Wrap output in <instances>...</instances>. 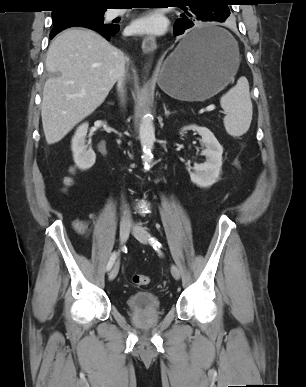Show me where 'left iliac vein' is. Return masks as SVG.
Masks as SVG:
<instances>
[{
    "mask_svg": "<svg viewBox=\"0 0 306 387\" xmlns=\"http://www.w3.org/2000/svg\"><path fill=\"white\" fill-rule=\"evenodd\" d=\"M132 234L143 244L149 241V233L139 225H133ZM171 274L176 279H180V270L176 265L171 266Z\"/></svg>",
    "mask_w": 306,
    "mask_h": 387,
    "instance_id": "4c4485c4",
    "label": "left iliac vein"
}]
</instances>
